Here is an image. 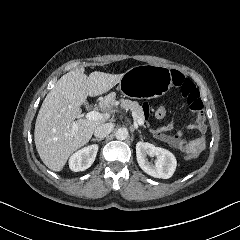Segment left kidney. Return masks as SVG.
Returning <instances> with one entry per match:
<instances>
[{
    "label": "left kidney",
    "mask_w": 240,
    "mask_h": 240,
    "mask_svg": "<svg viewBox=\"0 0 240 240\" xmlns=\"http://www.w3.org/2000/svg\"><path fill=\"white\" fill-rule=\"evenodd\" d=\"M136 154L139 166L148 175L169 179L177 169V159L172 152L163 148H156L151 143L138 142L136 144ZM155 157V163H151L146 159V156Z\"/></svg>",
    "instance_id": "obj_1"
}]
</instances>
